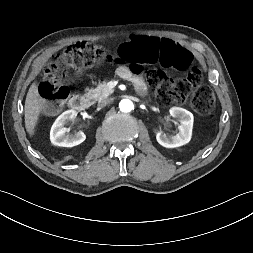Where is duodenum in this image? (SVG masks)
<instances>
[{
  "label": "duodenum",
  "instance_id": "duodenum-1",
  "mask_svg": "<svg viewBox=\"0 0 253 253\" xmlns=\"http://www.w3.org/2000/svg\"><path fill=\"white\" fill-rule=\"evenodd\" d=\"M90 104V100L88 97L84 95H74L70 100H69V106L71 109L76 110V111H82L88 108Z\"/></svg>",
  "mask_w": 253,
  "mask_h": 253
}]
</instances>
